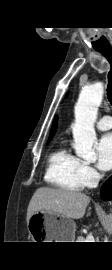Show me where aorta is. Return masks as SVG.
<instances>
[{
  "instance_id": "obj_1",
  "label": "aorta",
  "mask_w": 112,
  "mask_h": 270,
  "mask_svg": "<svg viewBox=\"0 0 112 270\" xmlns=\"http://www.w3.org/2000/svg\"><path fill=\"white\" fill-rule=\"evenodd\" d=\"M104 93L101 82H96L82 89L75 105V123L72 126L74 149L78 157L87 161H96L97 156L93 150L96 140L94 123L97 119L98 106Z\"/></svg>"
}]
</instances>
